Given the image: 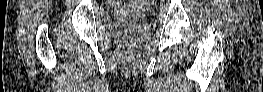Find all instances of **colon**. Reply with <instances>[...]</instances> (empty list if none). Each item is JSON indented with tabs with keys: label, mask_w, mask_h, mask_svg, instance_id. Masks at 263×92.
Instances as JSON below:
<instances>
[{
	"label": "colon",
	"mask_w": 263,
	"mask_h": 92,
	"mask_svg": "<svg viewBox=\"0 0 263 92\" xmlns=\"http://www.w3.org/2000/svg\"><path fill=\"white\" fill-rule=\"evenodd\" d=\"M112 6L114 8H116L117 10H122L123 9V5H124V2H121V1H112L111 2Z\"/></svg>",
	"instance_id": "1"
}]
</instances>
